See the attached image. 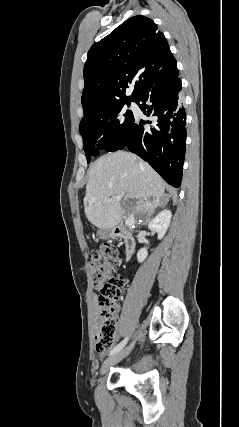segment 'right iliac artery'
I'll use <instances>...</instances> for the list:
<instances>
[{"label":"right iliac artery","mask_w":239,"mask_h":427,"mask_svg":"<svg viewBox=\"0 0 239 427\" xmlns=\"http://www.w3.org/2000/svg\"><path fill=\"white\" fill-rule=\"evenodd\" d=\"M128 341V337H126L124 340H122L117 346H115L111 351L109 355H114L117 352H119L126 344Z\"/></svg>","instance_id":"obj_1"}]
</instances>
